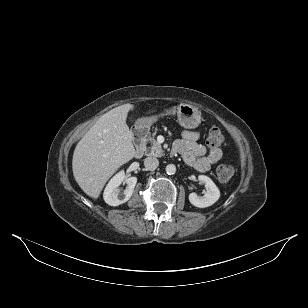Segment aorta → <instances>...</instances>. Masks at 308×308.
<instances>
[{
	"label": "aorta",
	"mask_w": 308,
	"mask_h": 308,
	"mask_svg": "<svg viewBox=\"0 0 308 308\" xmlns=\"http://www.w3.org/2000/svg\"><path fill=\"white\" fill-rule=\"evenodd\" d=\"M176 172V166L174 164H168L166 166V173L168 175H173Z\"/></svg>",
	"instance_id": "1"
}]
</instances>
